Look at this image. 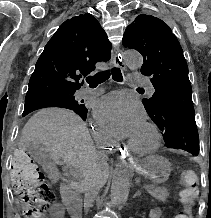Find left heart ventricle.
<instances>
[{
    "mask_svg": "<svg viewBox=\"0 0 211 218\" xmlns=\"http://www.w3.org/2000/svg\"><path fill=\"white\" fill-rule=\"evenodd\" d=\"M151 140L152 136L145 126L129 139L130 142L140 146H147Z\"/></svg>",
    "mask_w": 211,
    "mask_h": 218,
    "instance_id": "left-heart-ventricle-1",
    "label": "left heart ventricle"
}]
</instances>
